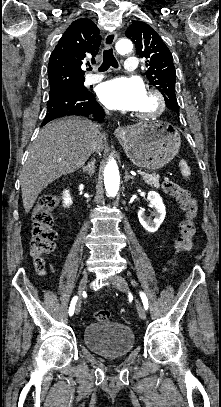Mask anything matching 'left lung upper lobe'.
<instances>
[{
	"instance_id": "1",
	"label": "left lung upper lobe",
	"mask_w": 221,
	"mask_h": 407,
	"mask_svg": "<svg viewBox=\"0 0 221 407\" xmlns=\"http://www.w3.org/2000/svg\"><path fill=\"white\" fill-rule=\"evenodd\" d=\"M136 46V53L146 58V76L164 96L166 106L179 112L175 94L176 73L170 50L161 37L146 23L134 22L125 32Z\"/></svg>"
}]
</instances>
